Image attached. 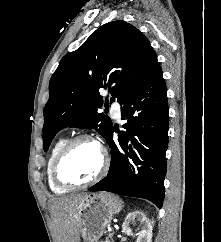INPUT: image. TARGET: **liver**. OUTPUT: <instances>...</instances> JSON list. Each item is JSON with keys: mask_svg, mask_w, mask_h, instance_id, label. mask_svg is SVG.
Wrapping results in <instances>:
<instances>
[{"mask_svg": "<svg viewBox=\"0 0 221 242\" xmlns=\"http://www.w3.org/2000/svg\"><path fill=\"white\" fill-rule=\"evenodd\" d=\"M86 196L87 194H78L51 200L56 242H79V224L75 209Z\"/></svg>", "mask_w": 221, "mask_h": 242, "instance_id": "6515ba94", "label": "liver"}]
</instances>
